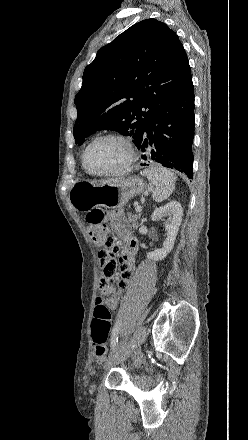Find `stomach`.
<instances>
[{"instance_id":"obj_1","label":"stomach","mask_w":248,"mask_h":440,"mask_svg":"<svg viewBox=\"0 0 248 440\" xmlns=\"http://www.w3.org/2000/svg\"><path fill=\"white\" fill-rule=\"evenodd\" d=\"M145 188L143 180L139 177L103 184L78 181L69 191V200L78 211H88L98 206L118 208L124 206L132 197L140 195Z\"/></svg>"}]
</instances>
